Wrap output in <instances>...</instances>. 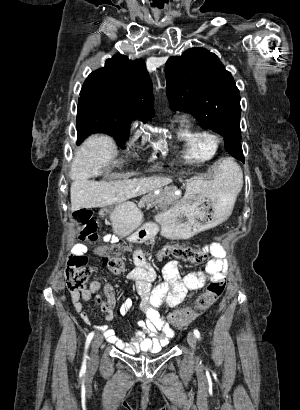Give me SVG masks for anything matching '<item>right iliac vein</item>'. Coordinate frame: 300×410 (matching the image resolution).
Segmentation results:
<instances>
[{
    "mask_svg": "<svg viewBox=\"0 0 300 410\" xmlns=\"http://www.w3.org/2000/svg\"><path fill=\"white\" fill-rule=\"evenodd\" d=\"M103 337L101 334H96L92 340L91 344V361L95 362L97 360L98 349L102 343Z\"/></svg>",
    "mask_w": 300,
    "mask_h": 410,
    "instance_id": "obj_1",
    "label": "right iliac vein"
}]
</instances>
